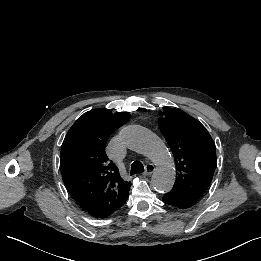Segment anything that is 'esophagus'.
Instances as JSON below:
<instances>
[{"instance_id": "obj_1", "label": "esophagus", "mask_w": 261, "mask_h": 261, "mask_svg": "<svg viewBox=\"0 0 261 261\" xmlns=\"http://www.w3.org/2000/svg\"><path fill=\"white\" fill-rule=\"evenodd\" d=\"M155 170V166L152 163H148L145 166V172L143 173L144 176H148L153 173Z\"/></svg>"}]
</instances>
